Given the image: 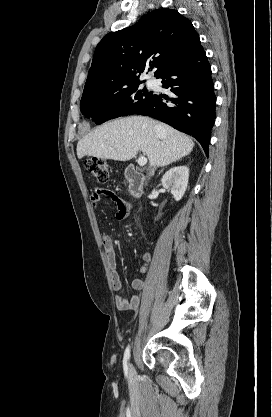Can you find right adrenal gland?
Segmentation results:
<instances>
[{"mask_svg": "<svg viewBox=\"0 0 272 417\" xmlns=\"http://www.w3.org/2000/svg\"><path fill=\"white\" fill-rule=\"evenodd\" d=\"M163 170H164V168L159 172V175L162 173Z\"/></svg>", "mask_w": 272, "mask_h": 417, "instance_id": "2a0ac1e0", "label": "right adrenal gland"}]
</instances>
